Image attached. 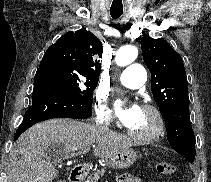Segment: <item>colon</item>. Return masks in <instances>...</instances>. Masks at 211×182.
Masks as SVG:
<instances>
[{
  "mask_svg": "<svg viewBox=\"0 0 211 182\" xmlns=\"http://www.w3.org/2000/svg\"><path fill=\"white\" fill-rule=\"evenodd\" d=\"M156 170L158 173H160L162 175H172L175 173L176 167L171 163L159 162L156 165ZM55 182H66V181L65 180H56Z\"/></svg>",
  "mask_w": 211,
  "mask_h": 182,
  "instance_id": "5ec220e1",
  "label": "colon"
}]
</instances>
